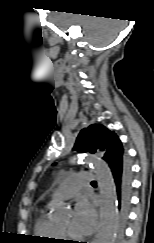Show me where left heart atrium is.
<instances>
[{"label":"left heart atrium","mask_w":154,"mask_h":243,"mask_svg":"<svg viewBox=\"0 0 154 243\" xmlns=\"http://www.w3.org/2000/svg\"><path fill=\"white\" fill-rule=\"evenodd\" d=\"M96 225V213L88 201H80L74 210L71 231L80 236L90 234Z\"/></svg>","instance_id":"obj_1"}]
</instances>
